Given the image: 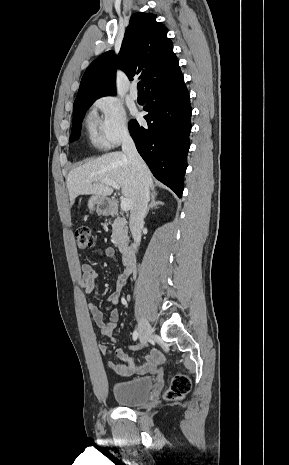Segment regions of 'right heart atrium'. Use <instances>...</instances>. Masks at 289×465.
Returning a JSON list of instances; mask_svg holds the SVG:
<instances>
[{
    "label": "right heart atrium",
    "mask_w": 289,
    "mask_h": 465,
    "mask_svg": "<svg viewBox=\"0 0 289 465\" xmlns=\"http://www.w3.org/2000/svg\"><path fill=\"white\" fill-rule=\"evenodd\" d=\"M102 114L101 132L109 146L118 145L129 136L128 120L123 105L113 96H102L95 102Z\"/></svg>",
    "instance_id": "obj_1"
}]
</instances>
